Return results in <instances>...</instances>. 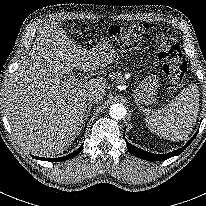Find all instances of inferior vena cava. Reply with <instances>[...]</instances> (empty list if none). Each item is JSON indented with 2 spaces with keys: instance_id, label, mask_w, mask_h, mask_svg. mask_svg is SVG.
I'll return each instance as SVG.
<instances>
[{
  "instance_id": "inferior-vena-cava-1",
  "label": "inferior vena cava",
  "mask_w": 206,
  "mask_h": 206,
  "mask_svg": "<svg viewBox=\"0 0 206 206\" xmlns=\"http://www.w3.org/2000/svg\"><path fill=\"white\" fill-rule=\"evenodd\" d=\"M86 100H88L89 102H96V103H98V102H100L101 100L96 96V95H93V94H88L87 96H86Z\"/></svg>"
}]
</instances>
